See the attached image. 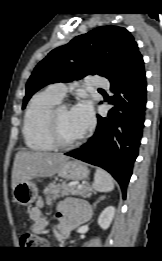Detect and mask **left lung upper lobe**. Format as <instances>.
<instances>
[{
    "instance_id": "left-lung-upper-lobe-1",
    "label": "left lung upper lobe",
    "mask_w": 162,
    "mask_h": 261,
    "mask_svg": "<svg viewBox=\"0 0 162 261\" xmlns=\"http://www.w3.org/2000/svg\"><path fill=\"white\" fill-rule=\"evenodd\" d=\"M141 59L137 43L125 28L98 27L52 50L38 63L27 82L23 108L35 92L48 84L89 74L112 81Z\"/></svg>"
}]
</instances>
